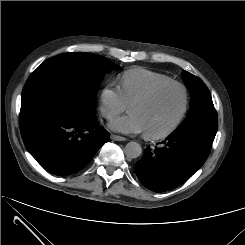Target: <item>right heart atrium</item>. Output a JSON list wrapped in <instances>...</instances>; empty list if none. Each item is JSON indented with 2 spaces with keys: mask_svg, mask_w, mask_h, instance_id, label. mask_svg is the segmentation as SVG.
<instances>
[{
  "mask_svg": "<svg viewBox=\"0 0 245 245\" xmlns=\"http://www.w3.org/2000/svg\"><path fill=\"white\" fill-rule=\"evenodd\" d=\"M127 107L119 88L110 84L104 85L99 93V110L106 119H112L121 114Z\"/></svg>",
  "mask_w": 245,
  "mask_h": 245,
  "instance_id": "right-heart-atrium-1",
  "label": "right heart atrium"
}]
</instances>
